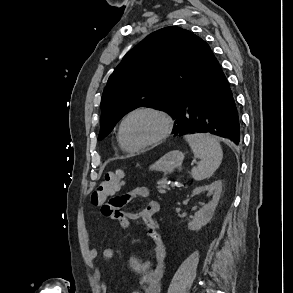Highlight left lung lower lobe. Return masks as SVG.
<instances>
[{
    "mask_svg": "<svg viewBox=\"0 0 293 293\" xmlns=\"http://www.w3.org/2000/svg\"><path fill=\"white\" fill-rule=\"evenodd\" d=\"M211 133L240 142V125L229 83L214 57L206 79L183 102L173 133Z\"/></svg>",
    "mask_w": 293,
    "mask_h": 293,
    "instance_id": "obj_1",
    "label": "left lung lower lobe"
}]
</instances>
